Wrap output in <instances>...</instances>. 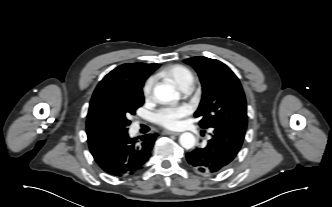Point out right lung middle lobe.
I'll return each mask as SVG.
<instances>
[{
    "instance_id": "right-lung-middle-lobe-1",
    "label": "right lung middle lobe",
    "mask_w": 332,
    "mask_h": 207,
    "mask_svg": "<svg viewBox=\"0 0 332 207\" xmlns=\"http://www.w3.org/2000/svg\"><path fill=\"white\" fill-rule=\"evenodd\" d=\"M142 86L121 84L91 101L87 115V134L98 136L128 130L130 120L127 116L134 115L136 109L144 103Z\"/></svg>"
}]
</instances>
